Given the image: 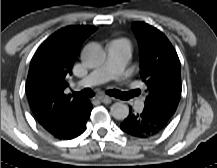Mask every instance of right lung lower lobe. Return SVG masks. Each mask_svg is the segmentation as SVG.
Here are the masks:
<instances>
[{
  "label": "right lung lower lobe",
  "instance_id": "1",
  "mask_svg": "<svg viewBox=\"0 0 217 168\" xmlns=\"http://www.w3.org/2000/svg\"><path fill=\"white\" fill-rule=\"evenodd\" d=\"M91 110L92 104L89 102L88 106L84 110L72 116H68L60 125L47 131L57 139H73L85 131L86 123L90 117Z\"/></svg>",
  "mask_w": 217,
  "mask_h": 168
}]
</instances>
